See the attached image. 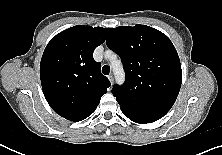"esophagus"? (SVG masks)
Returning <instances> with one entry per match:
<instances>
[{
  "mask_svg": "<svg viewBox=\"0 0 222 155\" xmlns=\"http://www.w3.org/2000/svg\"><path fill=\"white\" fill-rule=\"evenodd\" d=\"M108 79H109V81H110V83H111V85H112L113 82H114L113 75H112V74L108 75Z\"/></svg>",
  "mask_w": 222,
  "mask_h": 155,
  "instance_id": "obj_1",
  "label": "esophagus"
}]
</instances>
